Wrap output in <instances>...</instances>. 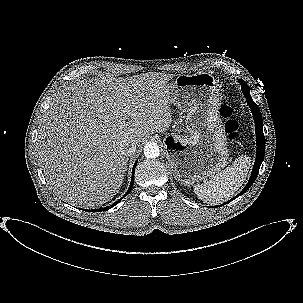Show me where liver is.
<instances>
[{
	"label": "liver",
	"mask_w": 303,
	"mask_h": 303,
	"mask_svg": "<svg viewBox=\"0 0 303 303\" xmlns=\"http://www.w3.org/2000/svg\"><path fill=\"white\" fill-rule=\"evenodd\" d=\"M172 74L130 78L98 75L58 93L38 134V160L54 193L78 207H95L120 190L128 158L120 143L139 145L172 123Z\"/></svg>",
	"instance_id": "6515ba94"
}]
</instances>
